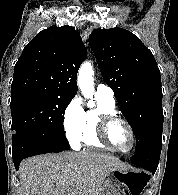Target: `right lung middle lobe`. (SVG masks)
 <instances>
[{"instance_id": "1", "label": "right lung middle lobe", "mask_w": 178, "mask_h": 195, "mask_svg": "<svg viewBox=\"0 0 178 195\" xmlns=\"http://www.w3.org/2000/svg\"><path fill=\"white\" fill-rule=\"evenodd\" d=\"M73 97L26 92L11 96L13 138L19 135L54 133L66 139L64 113Z\"/></svg>"}]
</instances>
